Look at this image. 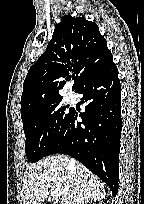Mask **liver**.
<instances>
[{"mask_svg": "<svg viewBox=\"0 0 144 204\" xmlns=\"http://www.w3.org/2000/svg\"><path fill=\"white\" fill-rule=\"evenodd\" d=\"M53 187L61 191L60 204H87L106 196L104 184L84 165L65 155H53L26 168L23 204H41Z\"/></svg>", "mask_w": 144, "mask_h": 204, "instance_id": "6515ba94", "label": "liver"}]
</instances>
